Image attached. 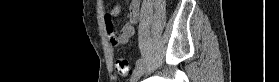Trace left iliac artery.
Listing matches in <instances>:
<instances>
[{
	"instance_id": "44dca946",
	"label": "left iliac artery",
	"mask_w": 279,
	"mask_h": 82,
	"mask_svg": "<svg viewBox=\"0 0 279 82\" xmlns=\"http://www.w3.org/2000/svg\"><path fill=\"white\" fill-rule=\"evenodd\" d=\"M142 61H143L142 59L137 60V61H136V65L141 64V63H142Z\"/></svg>"
}]
</instances>
